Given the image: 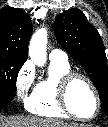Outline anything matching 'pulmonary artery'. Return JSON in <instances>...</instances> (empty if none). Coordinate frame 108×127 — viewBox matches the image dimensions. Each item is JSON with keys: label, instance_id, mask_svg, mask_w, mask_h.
I'll return each instance as SVG.
<instances>
[{"label": "pulmonary artery", "instance_id": "e3ab8cb5", "mask_svg": "<svg viewBox=\"0 0 108 127\" xmlns=\"http://www.w3.org/2000/svg\"><path fill=\"white\" fill-rule=\"evenodd\" d=\"M50 61L68 62L67 54L59 49H53L49 54Z\"/></svg>", "mask_w": 108, "mask_h": 127}]
</instances>
